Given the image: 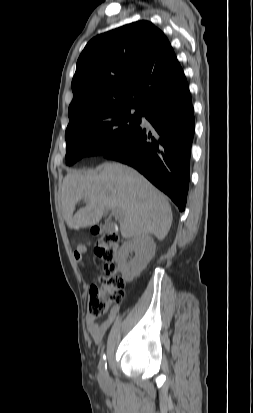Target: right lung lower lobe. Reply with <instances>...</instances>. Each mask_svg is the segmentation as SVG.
<instances>
[{"label": "right lung lower lobe", "instance_id": "right-lung-lower-lobe-1", "mask_svg": "<svg viewBox=\"0 0 253 413\" xmlns=\"http://www.w3.org/2000/svg\"><path fill=\"white\" fill-rule=\"evenodd\" d=\"M142 116L150 126L140 124L102 156L137 169L184 211L195 131L189 89L179 98L150 102Z\"/></svg>", "mask_w": 253, "mask_h": 413}]
</instances>
